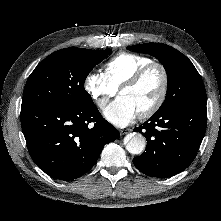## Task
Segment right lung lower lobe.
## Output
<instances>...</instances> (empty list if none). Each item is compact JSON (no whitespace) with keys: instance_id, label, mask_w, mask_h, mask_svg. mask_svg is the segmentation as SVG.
I'll return each mask as SVG.
<instances>
[{"instance_id":"right-lung-lower-lobe-1","label":"right lung lower lobe","mask_w":221,"mask_h":221,"mask_svg":"<svg viewBox=\"0 0 221 221\" xmlns=\"http://www.w3.org/2000/svg\"><path fill=\"white\" fill-rule=\"evenodd\" d=\"M21 125L35 164L60 180L85 174L104 145L120 135L94 103L81 107L22 106Z\"/></svg>"}]
</instances>
